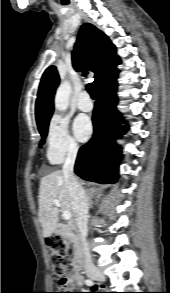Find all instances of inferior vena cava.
Wrapping results in <instances>:
<instances>
[{"mask_svg":"<svg viewBox=\"0 0 170 293\" xmlns=\"http://www.w3.org/2000/svg\"><path fill=\"white\" fill-rule=\"evenodd\" d=\"M78 153V146L71 145L63 165V174L65 182L72 199V208L75 213L76 223L80 232L82 242V251L84 254L85 269L90 270L94 268L91 255L87 246V220H88V199L82 185L74 174V164Z\"/></svg>","mask_w":170,"mask_h":293,"instance_id":"602c4592","label":"inferior vena cava"}]
</instances>
